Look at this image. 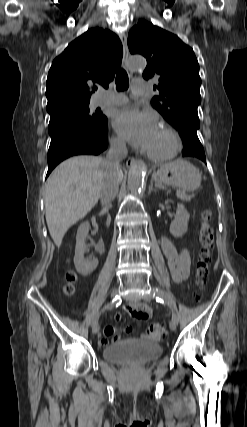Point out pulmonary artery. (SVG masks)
I'll list each match as a JSON object with an SVG mask.
<instances>
[{
    "instance_id": "pulmonary-artery-1",
    "label": "pulmonary artery",
    "mask_w": 247,
    "mask_h": 427,
    "mask_svg": "<svg viewBox=\"0 0 247 427\" xmlns=\"http://www.w3.org/2000/svg\"><path fill=\"white\" fill-rule=\"evenodd\" d=\"M147 89V85L144 81H136L133 85L132 92L134 95H142ZM128 99L124 95H107L100 99V106H116L127 103Z\"/></svg>"
}]
</instances>
